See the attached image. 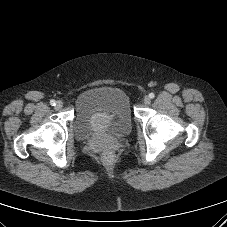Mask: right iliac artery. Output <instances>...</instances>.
Here are the masks:
<instances>
[{"instance_id": "1", "label": "right iliac artery", "mask_w": 227, "mask_h": 227, "mask_svg": "<svg viewBox=\"0 0 227 227\" xmlns=\"http://www.w3.org/2000/svg\"><path fill=\"white\" fill-rule=\"evenodd\" d=\"M50 104H51L52 106H55V105H56V101H55V100H51V101H50Z\"/></svg>"}]
</instances>
